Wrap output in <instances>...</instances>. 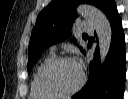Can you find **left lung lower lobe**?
I'll list each match as a JSON object with an SVG mask.
<instances>
[{"label":"left lung lower lobe","mask_w":128,"mask_h":99,"mask_svg":"<svg viewBox=\"0 0 128 99\" xmlns=\"http://www.w3.org/2000/svg\"><path fill=\"white\" fill-rule=\"evenodd\" d=\"M102 11L112 28L110 51L102 67H99V47L90 62L86 85L72 98L123 99L126 76V50L122 21L114 0H105ZM85 54V53H84Z\"/></svg>","instance_id":"obj_1"}]
</instances>
